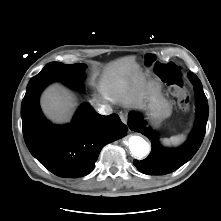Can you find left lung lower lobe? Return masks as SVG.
I'll use <instances>...</instances> for the list:
<instances>
[{
    "label": "left lung lower lobe",
    "instance_id": "0a47b994",
    "mask_svg": "<svg viewBox=\"0 0 221 221\" xmlns=\"http://www.w3.org/2000/svg\"><path fill=\"white\" fill-rule=\"evenodd\" d=\"M188 77L195 86L197 119L190 138L183 146L177 149L162 147L155 132L146 126L138 114L130 113L128 116L129 128L141 132L151 140L152 150L149 156L141 161H133L137 169L144 174L164 175L175 171L194 156L203 141L208 119V102L198 77L192 72L188 74Z\"/></svg>",
    "mask_w": 221,
    "mask_h": 221
}]
</instances>
